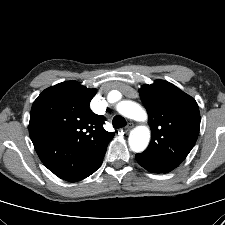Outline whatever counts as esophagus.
I'll return each instance as SVG.
<instances>
[{
  "label": "esophagus",
  "instance_id": "esophagus-1",
  "mask_svg": "<svg viewBox=\"0 0 225 225\" xmlns=\"http://www.w3.org/2000/svg\"><path fill=\"white\" fill-rule=\"evenodd\" d=\"M134 127L133 123H128L124 128L125 132H129Z\"/></svg>",
  "mask_w": 225,
  "mask_h": 225
}]
</instances>
